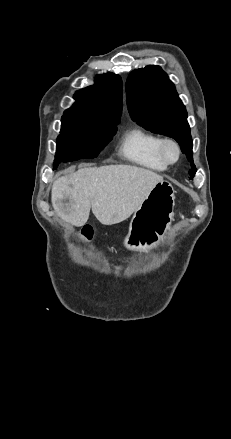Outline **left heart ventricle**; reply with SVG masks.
Instances as JSON below:
<instances>
[{
	"mask_svg": "<svg viewBox=\"0 0 231 439\" xmlns=\"http://www.w3.org/2000/svg\"><path fill=\"white\" fill-rule=\"evenodd\" d=\"M169 155H170L171 158L175 157V151H174L173 148H169Z\"/></svg>",
	"mask_w": 231,
	"mask_h": 439,
	"instance_id": "obj_1",
	"label": "left heart ventricle"
}]
</instances>
